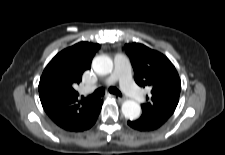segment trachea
Instances as JSON below:
<instances>
[{
    "instance_id": "3493384b",
    "label": "trachea",
    "mask_w": 225,
    "mask_h": 155,
    "mask_svg": "<svg viewBox=\"0 0 225 155\" xmlns=\"http://www.w3.org/2000/svg\"><path fill=\"white\" fill-rule=\"evenodd\" d=\"M109 92L118 96H122L121 92L115 88V87H110ZM105 93V90L103 88H98L92 95H90V98H98L103 96Z\"/></svg>"
}]
</instances>
